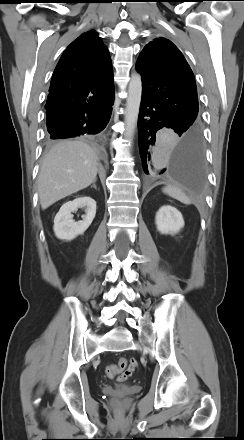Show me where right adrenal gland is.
I'll return each instance as SVG.
<instances>
[{
	"label": "right adrenal gland",
	"mask_w": 244,
	"mask_h": 440,
	"mask_svg": "<svg viewBox=\"0 0 244 440\" xmlns=\"http://www.w3.org/2000/svg\"><path fill=\"white\" fill-rule=\"evenodd\" d=\"M91 187H93L95 190H97L95 182L93 183V185Z\"/></svg>",
	"instance_id": "1"
}]
</instances>
